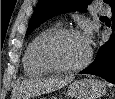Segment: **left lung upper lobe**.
Segmentation results:
<instances>
[{"mask_svg":"<svg viewBox=\"0 0 115 99\" xmlns=\"http://www.w3.org/2000/svg\"><path fill=\"white\" fill-rule=\"evenodd\" d=\"M92 0H39L29 21L26 35L46 20L69 11L84 12ZM113 6L115 0H104Z\"/></svg>","mask_w":115,"mask_h":99,"instance_id":"obj_1","label":"left lung upper lobe"}]
</instances>
